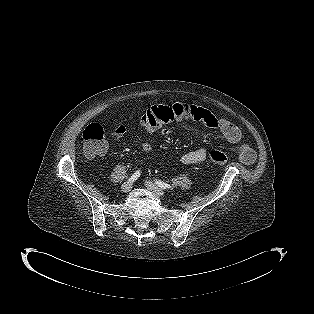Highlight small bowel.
I'll return each instance as SVG.
<instances>
[{
  "label": "small bowel",
  "instance_id": "small-bowel-1",
  "mask_svg": "<svg viewBox=\"0 0 314 314\" xmlns=\"http://www.w3.org/2000/svg\"><path fill=\"white\" fill-rule=\"evenodd\" d=\"M187 120L201 123L212 130L218 131L229 143L237 144L241 141L242 133L240 129L230 120L216 116L205 108L188 106L186 103L179 101H173L165 105H149L145 109L140 125L146 132H154L160 129L161 135L167 136L171 133V128L169 126L160 128V126L171 125L176 122L183 123ZM123 133L124 127H120L117 136H122ZM140 148L144 153H148L152 150V145L149 142H142ZM206 159L207 151L204 149L192 150L181 156V162L185 165L202 163ZM239 159L245 165L252 164L255 160L254 150L248 144H241Z\"/></svg>",
  "mask_w": 314,
  "mask_h": 314
}]
</instances>
